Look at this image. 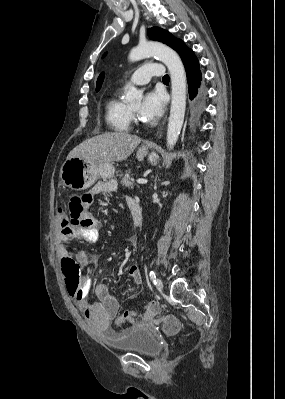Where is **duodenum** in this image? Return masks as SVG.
I'll list each match as a JSON object with an SVG mask.
<instances>
[{
  "label": "duodenum",
  "mask_w": 285,
  "mask_h": 399,
  "mask_svg": "<svg viewBox=\"0 0 285 399\" xmlns=\"http://www.w3.org/2000/svg\"><path fill=\"white\" fill-rule=\"evenodd\" d=\"M131 214L134 221V225L139 227L142 223V210L139 206L135 205L131 208Z\"/></svg>",
  "instance_id": "1"
}]
</instances>
